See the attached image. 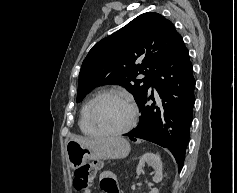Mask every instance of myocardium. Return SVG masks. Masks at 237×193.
<instances>
[{"instance_id":"1","label":"myocardium","mask_w":237,"mask_h":193,"mask_svg":"<svg viewBox=\"0 0 237 193\" xmlns=\"http://www.w3.org/2000/svg\"><path fill=\"white\" fill-rule=\"evenodd\" d=\"M105 97H115L118 98L122 101H124L128 107L130 108L131 111V116H130V120L128 122V124L120 129V130H116V131H106V130H102L100 129L97 124L95 123L94 120V110L96 105L98 104V102L105 98ZM138 107L136 105V103L133 101L132 98H130L129 96L121 93V92H117V91H104L99 93L95 98H93V100L91 101L89 108H88V113H87V118H88V122L90 124V126L94 129V131L100 135V136H105V137H116V136H121L124 135L126 133H128L136 124V121L138 119Z\"/></svg>"}]
</instances>
